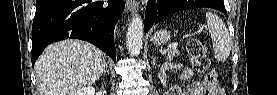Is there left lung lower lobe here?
Segmentation results:
<instances>
[{
	"label": "left lung lower lobe",
	"mask_w": 277,
	"mask_h": 95,
	"mask_svg": "<svg viewBox=\"0 0 277 95\" xmlns=\"http://www.w3.org/2000/svg\"><path fill=\"white\" fill-rule=\"evenodd\" d=\"M180 0H148L145 13L144 30L147 32L154 24L160 22L164 17L173 12L187 8L179 6ZM200 7H209L217 9L226 15V9L223 2L214 0H197Z\"/></svg>",
	"instance_id": "1"
}]
</instances>
